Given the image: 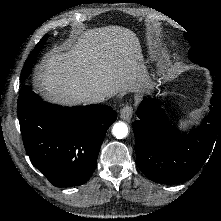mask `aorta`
<instances>
[{
	"mask_svg": "<svg viewBox=\"0 0 221 221\" xmlns=\"http://www.w3.org/2000/svg\"><path fill=\"white\" fill-rule=\"evenodd\" d=\"M112 134L118 139H123L128 135V126L124 122H117L112 128Z\"/></svg>",
	"mask_w": 221,
	"mask_h": 221,
	"instance_id": "aorta-1",
	"label": "aorta"
}]
</instances>
